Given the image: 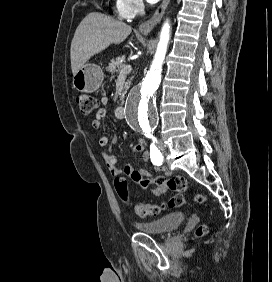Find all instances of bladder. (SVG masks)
<instances>
[{"label": "bladder", "instance_id": "obj_1", "mask_svg": "<svg viewBox=\"0 0 272 282\" xmlns=\"http://www.w3.org/2000/svg\"><path fill=\"white\" fill-rule=\"evenodd\" d=\"M185 218L184 212H174L153 221H136L135 225L143 233L159 234L175 229Z\"/></svg>", "mask_w": 272, "mask_h": 282}]
</instances>
